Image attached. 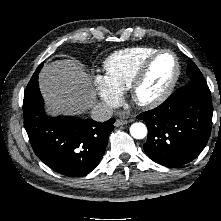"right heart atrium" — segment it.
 Segmentation results:
<instances>
[{"instance_id": "d8ad5b80", "label": "right heart atrium", "mask_w": 221, "mask_h": 221, "mask_svg": "<svg viewBox=\"0 0 221 221\" xmlns=\"http://www.w3.org/2000/svg\"><path fill=\"white\" fill-rule=\"evenodd\" d=\"M94 82L101 100L109 107H116L121 100V92L105 75H96Z\"/></svg>"}]
</instances>
